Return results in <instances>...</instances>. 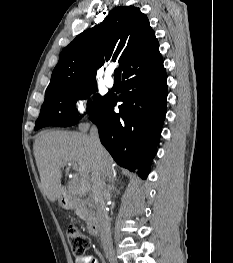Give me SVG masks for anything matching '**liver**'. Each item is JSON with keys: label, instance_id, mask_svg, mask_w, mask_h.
Returning a JSON list of instances; mask_svg holds the SVG:
<instances>
[{"label": "liver", "instance_id": "liver-1", "mask_svg": "<svg viewBox=\"0 0 233 263\" xmlns=\"http://www.w3.org/2000/svg\"><path fill=\"white\" fill-rule=\"evenodd\" d=\"M34 156L41 190L50 202H55L64 192L61 167L65 164L76 165L84 181L111 180L114 167V161L105 148L102 147L97 158L90 136L78 132H41L34 143Z\"/></svg>", "mask_w": 233, "mask_h": 263}]
</instances>
